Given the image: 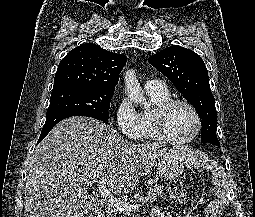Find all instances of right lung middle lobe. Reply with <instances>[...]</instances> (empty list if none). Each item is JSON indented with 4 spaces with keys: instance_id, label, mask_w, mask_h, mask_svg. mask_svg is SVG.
I'll return each mask as SVG.
<instances>
[{
    "instance_id": "right-lung-middle-lobe-1",
    "label": "right lung middle lobe",
    "mask_w": 255,
    "mask_h": 217,
    "mask_svg": "<svg viewBox=\"0 0 255 217\" xmlns=\"http://www.w3.org/2000/svg\"><path fill=\"white\" fill-rule=\"evenodd\" d=\"M114 90H100L86 86L66 85L53 88L47 114L68 111L101 121H108Z\"/></svg>"
}]
</instances>
